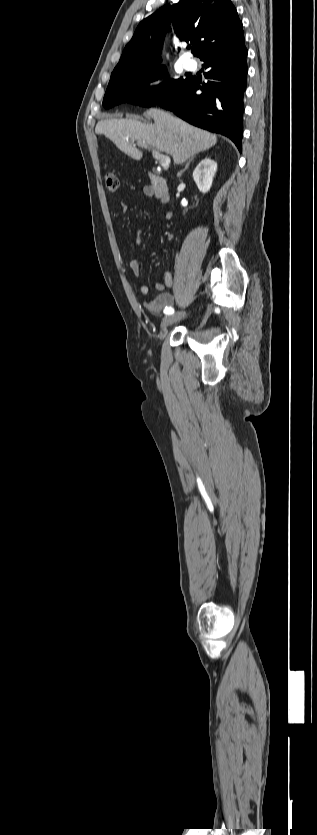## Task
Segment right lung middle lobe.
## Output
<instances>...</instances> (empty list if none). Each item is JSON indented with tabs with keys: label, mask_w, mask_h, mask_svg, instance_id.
Here are the masks:
<instances>
[{
	"label": "right lung middle lobe",
	"mask_w": 317,
	"mask_h": 835,
	"mask_svg": "<svg viewBox=\"0 0 317 835\" xmlns=\"http://www.w3.org/2000/svg\"><path fill=\"white\" fill-rule=\"evenodd\" d=\"M163 74L168 76L165 66H156L147 70H114L104 96L103 106L108 109L127 102L151 107L191 80V77L167 79L156 89L148 85L147 82L154 81Z\"/></svg>",
	"instance_id": "dd1d6c3e"
}]
</instances>
